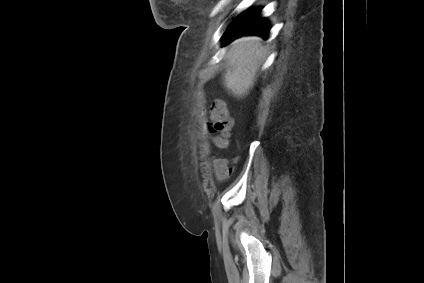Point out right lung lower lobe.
<instances>
[{
	"label": "right lung lower lobe",
	"mask_w": 424,
	"mask_h": 283,
	"mask_svg": "<svg viewBox=\"0 0 424 283\" xmlns=\"http://www.w3.org/2000/svg\"><path fill=\"white\" fill-rule=\"evenodd\" d=\"M260 11L261 9L247 10L238 15L227 27L223 45L242 35H259L267 38L270 27L268 22L261 18Z\"/></svg>",
	"instance_id": "right-lung-lower-lobe-1"
}]
</instances>
